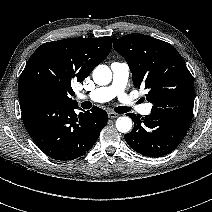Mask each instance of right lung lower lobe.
<instances>
[{
    "label": "right lung lower lobe",
    "instance_id": "right-lung-lower-lobe-1",
    "mask_svg": "<svg viewBox=\"0 0 212 212\" xmlns=\"http://www.w3.org/2000/svg\"><path fill=\"white\" fill-rule=\"evenodd\" d=\"M77 104L41 102L22 109L24 126L43 153L69 161L85 155L108 121L106 111L94 107L76 114Z\"/></svg>",
    "mask_w": 212,
    "mask_h": 212
}]
</instances>
